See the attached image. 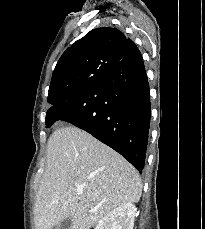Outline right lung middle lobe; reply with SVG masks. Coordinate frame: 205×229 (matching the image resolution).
<instances>
[{"label": "right lung middle lobe", "instance_id": "right-lung-middle-lobe-1", "mask_svg": "<svg viewBox=\"0 0 205 229\" xmlns=\"http://www.w3.org/2000/svg\"><path fill=\"white\" fill-rule=\"evenodd\" d=\"M104 77H105V76H101V77L97 78V79H96V82L99 81L100 79H103ZM66 100H67V99H66ZM66 100H65V101H66Z\"/></svg>", "mask_w": 205, "mask_h": 229}]
</instances>
